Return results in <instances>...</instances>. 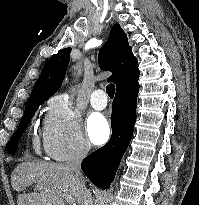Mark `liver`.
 <instances>
[{
	"label": "liver",
	"instance_id": "liver-1",
	"mask_svg": "<svg viewBox=\"0 0 199 205\" xmlns=\"http://www.w3.org/2000/svg\"><path fill=\"white\" fill-rule=\"evenodd\" d=\"M11 184L20 192L18 205H66L60 194L67 195L79 205L83 203L80 185L65 164L22 162L12 172ZM32 184H36V190L25 192Z\"/></svg>",
	"mask_w": 199,
	"mask_h": 205
}]
</instances>
